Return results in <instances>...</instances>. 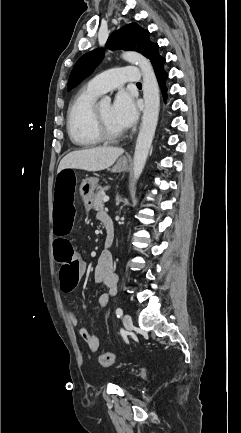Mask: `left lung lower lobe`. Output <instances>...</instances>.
I'll list each match as a JSON object with an SVG mask.
<instances>
[{
	"label": "left lung lower lobe",
	"mask_w": 241,
	"mask_h": 433,
	"mask_svg": "<svg viewBox=\"0 0 241 433\" xmlns=\"http://www.w3.org/2000/svg\"><path fill=\"white\" fill-rule=\"evenodd\" d=\"M156 77H157L158 83L160 85L162 95H163L164 100H165L166 96H167L166 95V93H167V87L165 85V82H166V80L168 78V74L165 71H161V72L156 73Z\"/></svg>",
	"instance_id": "left-lung-lower-lobe-1"
}]
</instances>
